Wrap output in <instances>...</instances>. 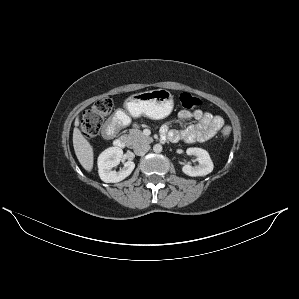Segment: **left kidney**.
I'll use <instances>...</instances> for the list:
<instances>
[{
  "label": "left kidney",
  "mask_w": 299,
  "mask_h": 299,
  "mask_svg": "<svg viewBox=\"0 0 299 299\" xmlns=\"http://www.w3.org/2000/svg\"><path fill=\"white\" fill-rule=\"evenodd\" d=\"M188 155H194L197 157V161L199 162L198 166L193 167L190 164H185L182 167L183 173L188 176L196 177L203 176L211 173L213 171V162L209 156V153L202 148H188L186 150Z\"/></svg>",
  "instance_id": "1"
}]
</instances>
